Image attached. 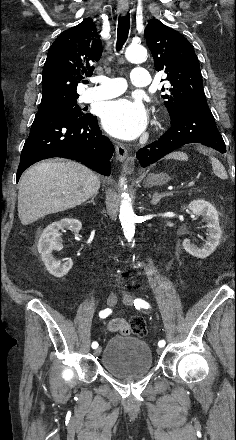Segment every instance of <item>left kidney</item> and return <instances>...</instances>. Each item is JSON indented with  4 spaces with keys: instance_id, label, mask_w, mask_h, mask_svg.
<instances>
[{
    "instance_id": "obj_1",
    "label": "left kidney",
    "mask_w": 236,
    "mask_h": 440,
    "mask_svg": "<svg viewBox=\"0 0 236 440\" xmlns=\"http://www.w3.org/2000/svg\"><path fill=\"white\" fill-rule=\"evenodd\" d=\"M187 208H189L194 215L203 217L207 223V238L201 248H197L189 239L183 241V247L185 251L192 256L205 259L215 251L222 236L217 210L211 203L202 199L190 202ZM183 209H185V207Z\"/></svg>"
}]
</instances>
